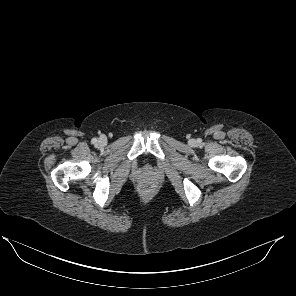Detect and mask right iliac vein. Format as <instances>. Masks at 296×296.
Here are the masks:
<instances>
[{
    "mask_svg": "<svg viewBox=\"0 0 296 296\" xmlns=\"http://www.w3.org/2000/svg\"><path fill=\"white\" fill-rule=\"evenodd\" d=\"M105 143V139L104 138H100L99 139V144H104Z\"/></svg>",
    "mask_w": 296,
    "mask_h": 296,
    "instance_id": "obj_1",
    "label": "right iliac vein"
}]
</instances>
